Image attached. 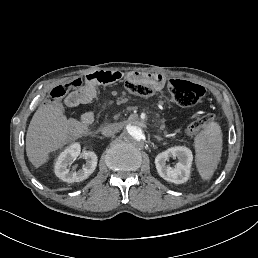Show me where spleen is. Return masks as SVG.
I'll use <instances>...</instances> for the list:
<instances>
[{"label":"spleen","mask_w":258,"mask_h":258,"mask_svg":"<svg viewBox=\"0 0 258 258\" xmlns=\"http://www.w3.org/2000/svg\"><path fill=\"white\" fill-rule=\"evenodd\" d=\"M196 163L200 175L211 179L220 161L222 133L217 123L209 124L195 137Z\"/></svg>","instance_id":"obj_1"}]
</instances>
